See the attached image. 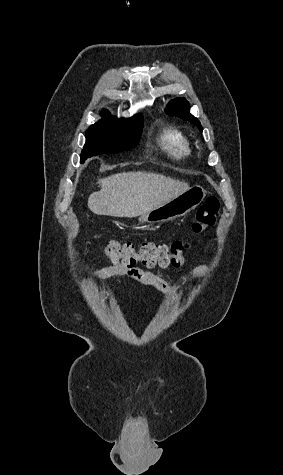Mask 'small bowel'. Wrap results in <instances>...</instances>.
Masks as SVG:
<instances>
[{
  "label": "small bowel",
  "instance_id": "1",
  "mask_svg": "<svg viewBox=\"0 0 283 475\" xmlns=\"http://www.w3.org/2000/svg\"><path fill=\"white\" fill-rule=\"evenodd\" d=\"M207 271L208 267L206 265H199L194 270V276L196 279H200L207 273ZM117 276H126L140 283L152 286L168 299L173 298L176 294L175 288L160 275L136 266H129L123 262H115L114 264L102 267L95 272L98 285H100V282L104 279Z\"/></svg>",
  "mask_w": 283,
  "mask_h": 475
}]
</instances>
